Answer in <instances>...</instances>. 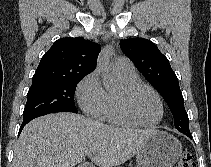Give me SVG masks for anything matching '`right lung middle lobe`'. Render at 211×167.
Masks as SVG:
<instances>
[{
	"label": "right lung middle lobe",
	"mask_w": 211,
	"mask_h": 167,
	"mask_svg": "<svg viewBox=\"0 0 211 167\" xmlns=\"http://www.w3.org/2000/svg\"><path fill=\"white\" fill-rule=\"evenodd\" d=\"M83 77L32 83L27 94L23 122L55 112L77 113L74 104L76 86Z\"/></svg>",
	"instance_id": "dd1d6c3e"
}]
</instances>
